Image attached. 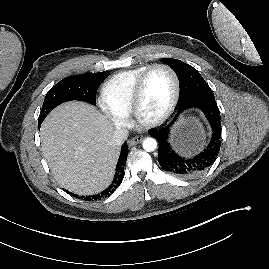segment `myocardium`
<instances>
[{
    "instance_id": "myocardium-1",
    "label": "myocardium",
    "mask_w": 269,
    "mask_h": 269,
    "mask_svg": "<svg viewBox=\"0 0 269 269\" xmlns=\"http://www.w3.org/2000/svg\"><path fill=\"white\" fill-rule=\"evenodd\" d=\"M158 68L165 69L171 74L173 78V82H174V93L165 111L155 118L148 119V118H144L141 113L142 97H143L147 77L153 70L158 69ZM180 93H181V83H180V79L176 71L167 64H163V63L152 64L146 68V70L140 75V77L138 78L136 82L133 95H132L131 113L133 117L135 118V120L143 127L158 126L164 123L172 115V113L174 112L178 104Z\"/></svg>"
}]
</instances>
